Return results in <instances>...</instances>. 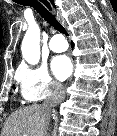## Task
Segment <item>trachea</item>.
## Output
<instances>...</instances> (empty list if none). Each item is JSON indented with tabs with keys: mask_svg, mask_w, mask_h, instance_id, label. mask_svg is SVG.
<instances>
[{
	"mask_svg": "<svg viewBox=\"0 0 117 136\" xmlns=\"http://www.w3.org/2000/svg\"><path fill=\"white\" fill-rule=\"evenodd\" d=\"M19 4L32 7L45 21L62 34L68 36L66 29L61 23L38 1V0H19ZM44 4L49 8L48 3Z\"/></svg>",
	"mask_w": 117,
	"mask_h": 136,
	"instance_id": "3493384b",
	"label": "trachea"
}]
</instances>
